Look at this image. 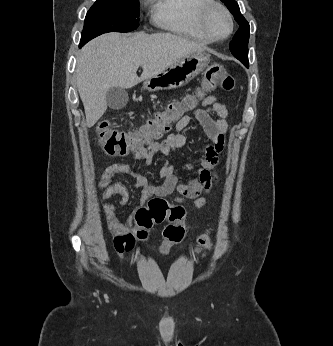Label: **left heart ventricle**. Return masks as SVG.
Here are the masks:
<instances>
[{
	"mask_svg": "<svg viewBox=\"0 0 333 346\" xmlns=\"http://www.w3.org/2000/svg\"><path fill=\"white\" fill-rule=\"evenodd\" d=\"M209 27L215 36L222 37L229 30V22L221 11L214 10L209 17Z\"/></svg>",
	"mask_w": 333,
	"mask_h": 346,
	"instance_id": "left-heart-ventricle-1",
	"label": "left heart ventricle"
}]
</instances>
